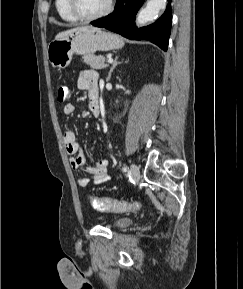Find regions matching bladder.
<instances>
[{"label":"bladder","instance_id":"31cf9c89","mask_svg":"<svg viewBox=\"0 0 243 289\" xmlns=\"http://www.w3.org/2000/svg\"><path fill=\"white\" fill-rule=\"evenodd\" d=\"M133 223V219L130 217H117L113 221V227L117 229L125 228Z\"/></svg>","mask_w":243,"mask_h":289}]
</instances>
